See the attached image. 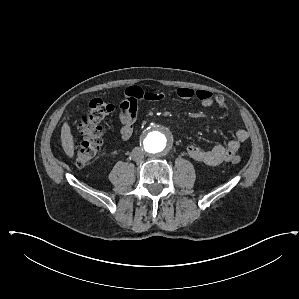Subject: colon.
<instances>
[{"instance_id":"1","label":"colon","mask_w":299,"mask_h":299,"mask_svg":"<svg viewBox=\"0 0 299 299\" xmlns=\"http://www.w3.org/2000/svg\"><path fill=\"white\" fill-rule=\"evenodd\" d=\"M113 107L101 99H94L89 104L88 111L79 121V131L84 140L77 146L75 152L76 164L80 167L90 163L98 154L103 144V130L100 122L112 112ZM241 157H232V163L238 164Z\"/></svg>"}]
</instances>
